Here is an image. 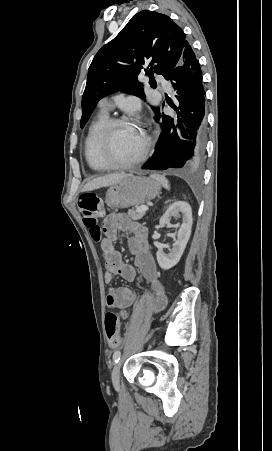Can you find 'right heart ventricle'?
<instances>
[{
	"label": "right heart ventricle",
	"mask_w": 272,
	"mask_h": 451,
	"mask_svg": "<svg viewBox=\"0 0 272 451\" xmlns=\"http://www.w3.org/2000/svg\"><path fill=\"white\" fill-rule=\"evenodd\" d=\"M107 119V113L102 111L92 124L86 140V160L90 169L97 173L104 170L99 156L98 138Z\"/></svg>",
	"instance_id": "obj_1"
}]
</instances>
